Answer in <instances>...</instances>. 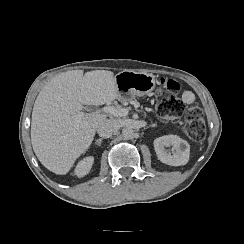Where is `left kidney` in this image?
Segmentation results:
<instances>
[{"instance_id":"5707ae66","label":"left kidney","mask_w":244,"mask_h":244,"mask_svg":"<svg viewBox=\"0 0 244 244\" xmlns=\"http://www.w3.org/2000/svg\"><path fill=\"white\" fill-rule=\"evenodd\" d=\"M166 147L172 148V153ZM154 149L158 159L170 166H182L188 162L189 144L174 135L161 136L154 140Z\"/></svg>"}]
</instances>
